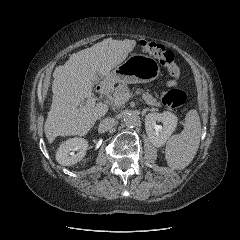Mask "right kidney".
<instances>
[{
    "mask_svg": "<svg viewBox=\"0 0 240 240\" xmlns=\"http://www.w3.org/2000/svg\"><path fill=\"white\" fill-rule=\"evenodd\" d=\"M87 148L88 142L84 138H70L58 148L56 160L62 166H71L84 158Z\"/></svg>",
    "mask_w": 240,
    "mask_h": 240,
    "instance_id": "obj_1",
    "label": "right kidney"
}]
</instances>
